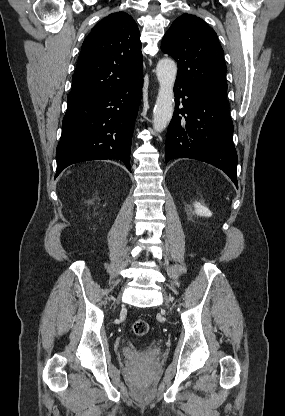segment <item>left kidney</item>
<instances>
[{
    "mask_svg": "<svg viewBox=\"0 0 285 416\" xmlns=\"http://www.w3.org/2000/svg\"><path fill=\"white\" fill-rule=\"evenodd\" d=\"M194 208L195 214H197V216H207V218H210V216H212V212H210V210H208L206 206H202L200 202H195Z\"/></svg>",
    "mask_w": 285,
    "mask_h": 416,
    "instance_id": "left-kidney-1",
    "label": "left kidney"
}]
</instances>
